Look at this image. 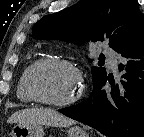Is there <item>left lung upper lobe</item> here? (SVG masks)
Returning <instances> with one entry per match:
<instances>
[{
  "mask_svg": "<svg viewBox=\"0 0 144 137\" xmlns=\"http://www.w3.org/2000/svg\"><path fill=\"white\" fill-rule=\"evenodd\" d=\"M144 14L136 0H80L58 13L46 15L33 26L36 39L108 41L118 51L139 30ZM92 61V60H90ZM102 67H92L94 86L106 77Z\"/></svg>",
  "mask_w": 144,
  "mask_h": 137,
  "instance_id": "5c2ea615",
  "label": "left lung upper lobe"
}]
</instances>
